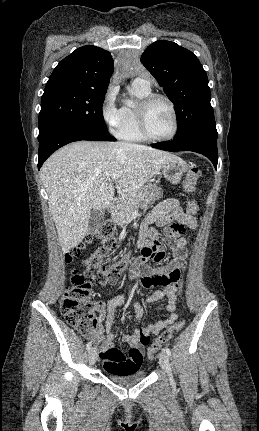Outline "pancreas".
Wrapping results in <instances>:
<instances>
[{
  "label": "pancreas",
  "instance_id": "cf45deb5",
  "mask_svg": "<svg viewBox=\"0 0 259 431\" xmlns=\"http://www.w3.org/2000/svg\"><path fill=\"white\" fill-rule=\"evenodd\" d=\"M145 194V186L130 189L123 194L111 213L113 221L121 227L124 226L131 212L140 205Z\"/></svg>",
  "mask_w": 259,
  "mask_h": 431
}]
</instances>
